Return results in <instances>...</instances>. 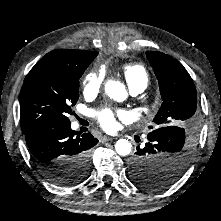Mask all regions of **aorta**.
Segmentation results:
<instances>
[{"label":"aorta","mask_w":221,"mask_h":221,"mask_svg":"<svg viewBox=\"0 0 221 221\" xmlns=\"http://www.w3.org/2000/svg\"><path fill=\"white\" fill-rule=\"evenodd\" d=\"M105 92L110 98L117 101H123L127 96L123 84L115 80H109L106 82ZM115 150L120 156H127L131 153L132 144L127 139H119L115 144Z\"/></svg>","instance_id":"obj_1"}]
</instances>
